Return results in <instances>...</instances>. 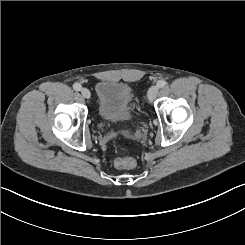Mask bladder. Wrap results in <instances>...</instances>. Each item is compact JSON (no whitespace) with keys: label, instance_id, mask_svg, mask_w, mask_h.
Instances as JSON below:
<instances>
[{"label":"bladder","instance_id":"31cf9c89","mask_svg":"<svg viewBox=\"0 0 245 245\" xmlns=\"http://www.w3.org/2000/svg\"><path fill=\"white\" fill-rule=\"evenodd\" d=\"M98 111L102 119L126 120L132 88L128 84L102 80L97 84Z\"/></svg>","mask_w":245,"mask_h":245}]
</instances>
